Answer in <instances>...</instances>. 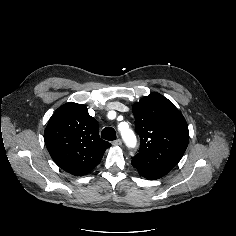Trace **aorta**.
Wrapping results in <instances>:
<instances>
[{
    "instance_id": "1",
    "label": "aorta",
    "mask_w": 236,
    "mask_h": 236,
    "mask_svg": "<svg viewBox=\"0 0 236 236\" xmlns=\"http://www.w3.org/2000/svg\"><path fill=\"white\" fill-rule=\"evenodd\" d=\"M122 136L128 145L133 146L135 144V136L132 131L125 130L122 132Z\"/></svg>"
}]
</instances>
